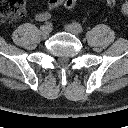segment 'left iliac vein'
<instances>
[{"mask_svg": "<svg viewBox=\"0 0 128 128\" xmlns=\"http://www.w3.org/2000/svg\"><path fill=\"white\" fill-rule=\"evenodd\" d=\"M65 30L69 33L76 35V36L79 34V32L74 28V26L70 25V24L65 25Z\"/></svg>", "mask_w": 128, "mask_h": 128, "instance_id": "left-iliac-vein-1", "label": "left iliac vein"}]
</instances>
